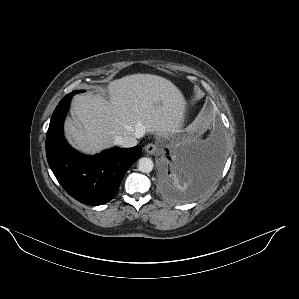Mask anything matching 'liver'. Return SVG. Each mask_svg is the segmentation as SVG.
Returning <instances> with one entry per match:
<instances>
[{"instance_id":"1","label":"liver","mask_w":299,"mask_h":299,"mask_svg":"<svg viewBox=\"0 0 299 299\" xmlns=\"http://www.w3.org/2000/svg\"><path fill=\"white\" fill-rule=\"evenodd\" d=\"M110 101L92 93L72 100L73 120L65 123L70 143L84 153L115 145L118 136L142 137L156 133L167 138L179 131L187 102L169 80L151 74H133L108 85Z\"/></svg>"}]
</instances>
